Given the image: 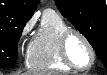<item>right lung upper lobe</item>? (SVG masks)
Listing matches in <instances>:
<instances>
[{
  "instance_id": "1",
  "label": "right lung upper lobe",
  "mask_w": 107,
  "mask_h": 75,
  "mask_svg": "<svg viewBox=\"0 0 107 75\" xmlns=\"http://www.w3.org/2000/svg\"><path fill=\"white\" fill-rule=\"evenodd\" d=\"M39 0H1L0 29L11 24L26 23L35 11Z\"/></svg>"
}]
</instances>
